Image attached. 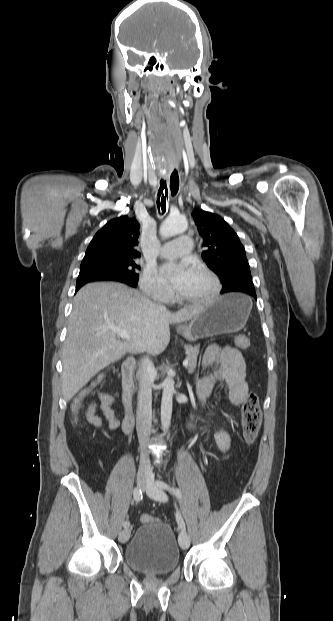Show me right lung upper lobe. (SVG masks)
I'll list each match as a JSON object with an SVG mask.
<instances>
[{
	"label": "right lung upper lobe",
	"mask_w": 333,
	"mask_h": 621,
	"mask_svg": "<svg viewBox=\"0 0 333 621\" xmlns=\"http://www.w3.org/2000/svg\"><path fill=\"white\" fill-rule=\"evenodd\" d=\"M139 224L135 218L121 216L107 222L91 240L84 259L140 256Z\"/></svg>",
	"instance_id": "obj_1"
}]
</instances>
